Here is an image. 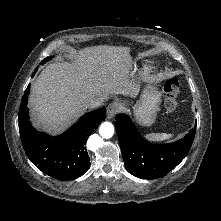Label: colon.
Instances as JSON below:
<instances>
[{"label": "colon", "instance_id": "5ec220e1", "mask_svg": "<svg viewBox=\"0 0 221 221\" xmlns=\"http://www.w3.org/2000/svg\"><path fill=\"white\" fill-rule=\"evenodd\" d=\"M163 94H164V105L167 111L173 112L177 109L178 103V95L180 93L179 82L174 79L170 78L167 79L163 83Z\"/></svg>", "mask_w": 221, "mask_h": 221}]
</instances>
